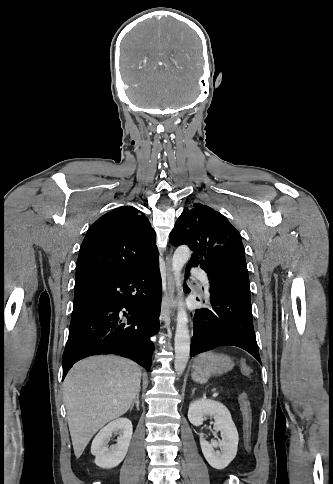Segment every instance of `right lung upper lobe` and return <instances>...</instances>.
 Masks as SVG:
<instances>
[{
    "label": "right lung upper lobe",
    "instance_id": "obj_1",
    "mask_svg": "<svg viewBox=\"0 0 333 484\" xmlns=\"http://www.w3.org/2000/svg\"><path fill=\"white\" fill-rule=\"evenodd\" d=\"M156 235L149 220L132 206L101 216L79 250L76 279L95 274H131L157 262Z\"/></svg>",
    "mask_w": 333,
    "mask_h": 484
}]
</instances>
